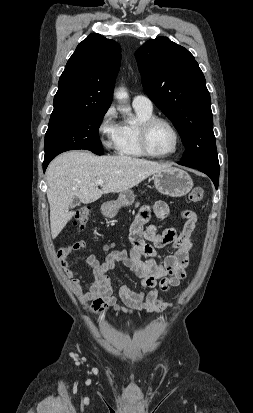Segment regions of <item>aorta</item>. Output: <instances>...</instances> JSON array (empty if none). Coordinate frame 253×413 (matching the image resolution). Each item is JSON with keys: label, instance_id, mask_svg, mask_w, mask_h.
<instances>
[{"label": "aorta", "instance_id": "aorta-1", "mask_svg": "<svg viewBox=\"0 0 253 413\" xmlns=\"http://www.w3.org/2000/svg\"><path fill=\"white\" fill-rule=\"evenodd\" d=\"M115 97L120 101V102H126L128 99V93L125 88L121 87L118 89V91L115 93ZM122 111L126 114H130V109L129 108H124Z\"/></svg>", "mask_w": 253, "mask_h": 413}]
</instances>
